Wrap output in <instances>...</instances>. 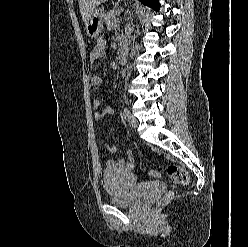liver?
Listing matches in <instances>:
<instances>
[{"label": "liver", "mask_w": 248, "mask_h": 247, "mask_svg": "<svg viewBox=\"0 0 248 247\" xmlns=\"http://www.w3.org/2000/svg\"><path fill=\"white\" fill-rule=\"evenodd\" d=\"M107 0H78L80 13L84 23L89 19L90 15L97 11V7Z\"/></svg>", "instance_id": "obj_1"}]
</instances>
